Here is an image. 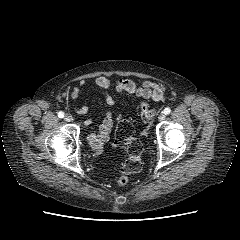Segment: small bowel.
<instances>
[{
    "label": "small bowel",
    "instance_id": "obj_1",
    "mask_svg": "<svg viewBox=\"0 0 240 240\" xmlns=\"http://www.w3.org/2000/svg\"><path fill=\"white\" fill-rule=\"evenodd\" d=\"M84 81H81L78 85L74 86L72 89L66 88L62 92V97L69 98L73 105L82 92V86ZM92 85L95 89L100 91L105 101L108 105H114L115 99L111 95V91L114 89L118 93H129L138 97L149 98L155 101H162L165 99V88L162 85L150 82L141 81L136 83L130 79H120L113 85L110 80L104 76H99L92 81ZM77 114H86L88 112L87 105H81L80 107H74ZM122 118L121 115H114L112 112H107L99 129L92 132L87 137V141L93 149L100 148L109 139V134L112 130L113 125ZM91 120H87L85 124H90Z\"/></svg>",
    "mask_w": 240,
    "mask_h": 240
}]
</instances>
